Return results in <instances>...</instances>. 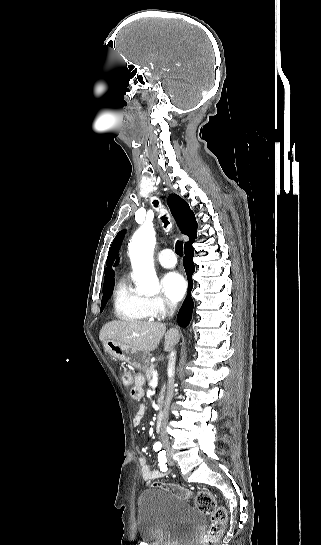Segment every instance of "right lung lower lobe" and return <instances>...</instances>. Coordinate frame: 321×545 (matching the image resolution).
<instances>
[{
  "instance_id": "98d812e1",
  "label": "right lung lower lobe",
  "mask_w": 321,
  "mask_h": 545,
  "mask_svg": "<svg viewBox=\"0 0 321 545\" xmlns=\"http://www.w3.org/2000/svg\"><path fill=\"white\" fill-rule=\"evenodd\" d=\"M190 240L185 243L184 246V253L185 257L183 259V265L186 271L187 279H188V295L178 313L177 321L180 326L186 327L192 317V310H193V300L191 298L190 292L193 288V280H192V274L195 271V266L193 264V256H194V250L192 247V243L196 239V233L189 237Z\"/></svg>"
}]
</instances>
